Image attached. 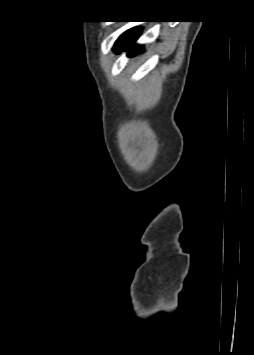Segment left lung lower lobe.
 I'll use <instances>...</instances> for the list:
<instances>
[{"instance_id":"0a47b994","label":"left lung lower lobe","mask_w":254,"mask_h":355,"mask_svg":"<svg viewBox=\"0 0 254 355\" xmlns=\"http://www.w3.org/2000/svg\"><path fill=\"white\" fill-rule=\"evenodd\" d=\"M141 34V28L136 27L126 31L118 39L114 46V51L120 53L121 51H128L129 56H133L136 53L143 51V46L134 45L135 41Z\"/></svg>"}]
</instances>
